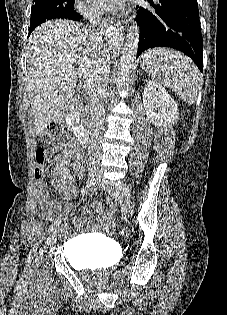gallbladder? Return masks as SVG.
Segmentation results:
<instances>
[{
    "label": "gallbladder",
    "instance_id": "obj_1",
    "mask_svg": "<svg viewBox=\"0 0 227 315\" xmlns=\"http://www.w3.org/2000/svg\"><path fill=\"white\" fill-rule=\"evenodd\" d=\"M63 120V115H60L57 119L56 122H61Z\"/></svg>",
    "mask_w": 227,
    "mask_h": 315
}]
</instances>
